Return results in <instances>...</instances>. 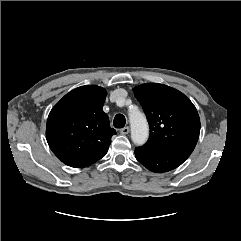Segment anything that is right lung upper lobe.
<instances>
[{"label":"right lung upper lobe","instance_id":"right-lung-upper-lobe-1","mask_svg":"<svg viewBox=\"0 0 241 241\" xmlns=\"http://www.w3.org/2000/svg\"><path fill=\"white\" fill-rule=\"evenodd\" d=\"M105 89L96 85L78 87L51 110L46 139L53 153L66 165L82 168L101 159L116 131L102 107Z\"/></svg>","mask_w":241,"mask_h":241}]
</instances>
